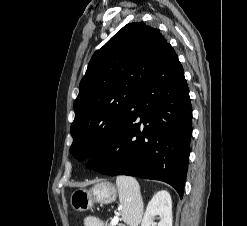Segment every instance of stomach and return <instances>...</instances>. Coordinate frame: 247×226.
Wrapping results in <instances>:
<instances>
[{
  "label": "stomach",
  "instance_id": "1",
  "mask_svg": "<svg viewBox=\"0 0 247 226\" xmlns=\"http://www.w3.org/2000/svg\"><path fill=\"white\" fill-rule=\"evenodd\" d=\"M117 190L107 181L95 184L91 189H76L70 197V204L75 211L91 209L95 202L108 204L116 200Z\"/></svg>",
  "mask_w": 247,
  "mask_h": 226
}]
</instances>
